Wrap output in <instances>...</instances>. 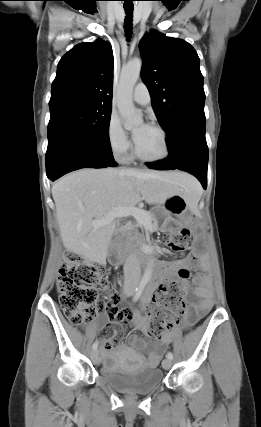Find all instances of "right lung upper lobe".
<instances>
[{
	"label": "right lung upper lobe",
	"instance_id": "right-lung-upper-lobe-1",
	"mask_svg": "<svg viewBox=\"0 0 261 427\" xmlns=\"http://www.w3.org/2000/svg\"><path fill=\"white\" fill-rule=\"evenodd\" d=\"M113 52L97 40L74 46L60 60L49 107L69 104L112 107Z\"/></svg>",
	"mask_w": 261,
	"mask_h": 427
}]
</instances>
